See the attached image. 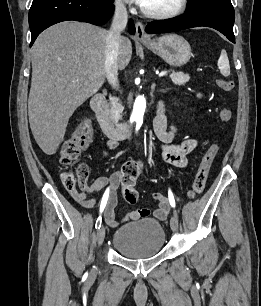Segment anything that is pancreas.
Wrapping results in <instances>:
<instances>
[{"label": "pancreas", "mask_w": 261, "mask_h": 306, "mask_svg": "<svg viewBox=\"0 0 261 306\" xmlns=\"http://www.w3.org/2000/svg\"><path fill=\"white\" fill-rule=\"evenodd\" d=\"M171 80L176 84V85H185L186 82L189 81L190 76L188 74H184L182 72L175 73L173 72L170 75ZM110 107H111V112L112 115L116 119H120L121 113L123 111L122 105L118 102L117 98H111L110 99Z\"/></svg>", "instance_id": "obj_1"}]
</instances>
